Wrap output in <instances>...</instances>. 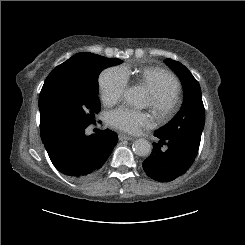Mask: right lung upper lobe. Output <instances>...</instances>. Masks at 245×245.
Wrapping results in <instances>:
<instances>
[{
    "label": "right lung upper lobe",
    "mask_w": 245,
    "mask_h": 245,
    "mask_svg": "<svg viewBox=\"0 0 245 245\" xmlns=\"http://www.w3.org/2000/svg\"><path fill=\"white\" fill-rule=\"evenodd\" d=\"M77 57V55L71 57L69 60H67L66 62L62 63L61 65L57 66L50 74H54L55 72L59 71L60 69H62L64 66L68 65L69 63H71L75 58ZM49 74V75H50Z\"/></svg>",
    "instance_id": "1"
}]
</instances>
